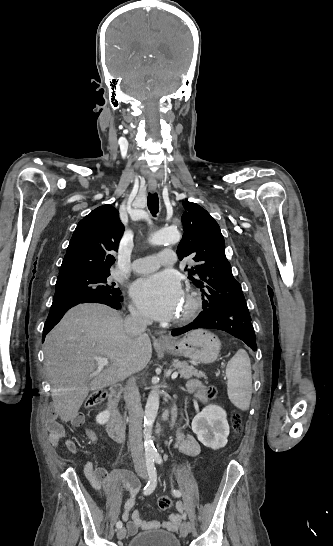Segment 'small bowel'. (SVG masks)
Instances as JSON below:
<instances>
[{"label": "small bowel", "instance_id": "small-bowel-1", "mask_svg": "<svg viewBox=\"0 0 333 546\" xmlns=\"http://www.w3.org/2000/svg\"><path fill=\"white\" fill-rule=\"evenodd\" d=\"M188 391L192 393L195 398L201 402L206 400V390L203 383L200 380H191L187 385ZM75 425H81L83 423L82 415H78L73 419ZM49 431V442L55 448L60 446L61 441H64L67 449L73 453H77V447L75 443L69 439L64 431L63 427L55 420L51 419L47 425ZM86 436L90 443L94 446L96 444V434L90 430H86ZM176 444L181 452L190 456H196L201 452V446L198 441L192 435H184L181 431L177 432ZM86 476L92 481L95 486H99L101 482H104V487L98 492L99 496H106L107 498L114 500L116 497V487L111 479L108 478L106 470L98 464L97 461H87L85 463ZM124 485L130 487L132 481L130 477H127L124 481ZM135 501L130 499L125 503V510L122 514V519L127 522V530L130 534H134L143 525L161 526L168 531L175 532L179 529L183 520L184 506L181 502H177L175 509L177 513L170 514L168 520L163 522L152 521L149 523L144 522L137 510H134Z\"/></svg>", "mask_w": 333, "mask_h": 546}]
</instances>
